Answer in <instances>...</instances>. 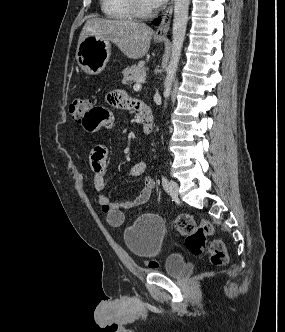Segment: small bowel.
I'll list each match as a JSON object with an SVG mask.
<instances>
[{
    "mask_svg": "<svg viewBox=\"0 0 285 332\" xmlns=\"http://www.w3.org/2000/svg\"><path fill=\"white\" fill-rule=\"evenodd\" d=\"M108 102L116 108H137L122 93L115 91L108 95ZM81 126H85V133H102V128L110 129L114 120L109 113V106H90V111H84V115L78 116ZM108 151L103 144H96L90 150V164L93 170V187L97 192V202L101 210L106 214L108 223L113 227L123 224L124 212L146 203L154 189V181L151 177H145L144 184L139 194L131 199L120 202H112L105 193L107 175ZM147 168L145 160L138 161L130 171L132 177H138Z\"/></svg>",
    "mask_w": 285,
    "mask_h": 332,
    "instance_id": "c3829d8e",
    "label": "small bowel"
}]
</instances>
